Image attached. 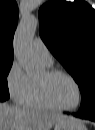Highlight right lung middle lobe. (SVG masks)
<instances>
[{
  "instance_id": "right-lung-middle-lobe-1",
  "label": "right lung middle lobe",
  "mask_w": 95,
  "mask_h": 130,
  "mask_svg": "<svg viewBox=\"0 0 95 130\" xmlns=\"http://www.w3.org/2000/svg\"><path fill=\"white\" fill-rule=\"evenodd\" d=\"M13 61H0V96L9 97L7 75Z\"/></svg>"
}]
</instances>
